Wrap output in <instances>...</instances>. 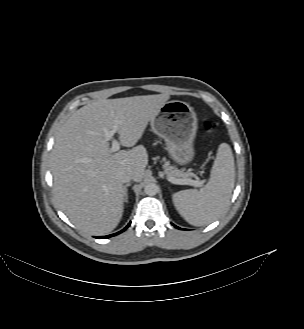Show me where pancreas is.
I'll return each mask as SVG.
<instances>
[{"label":"pancreas","mask_w":304,"mask_h":329,"mask_svg":"<svg viewBox=\"0 0 304 329\" xmlns=\"http://www.w3.org/2000/svg\"><path fill=\"white\" fill-rule=\"evenodd\" d=\"M163 168H164V173L173 178L187 179L193 176V173H191L189 170L186 172L183 169L179 170L178 168L172 166L169 161H166L164 163Z\"/></svg>","instance_id":"obj_1"}]
</instances>
